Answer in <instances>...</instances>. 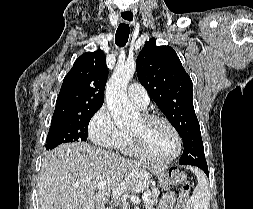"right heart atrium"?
Here are the masks:
<instances>
[{
  "instance_id": "obj_1",
  "label": "right heart atrium",
  "mask_w": 253,
  "mask_h": 209,
  "mask_svg": "<svg viewBox=\"0 0 253 209\" xmlns=\"http://www.w3.org/2000/svg\"><path fill=\"white\" fill-rule=\"evenodd\" d=\"M88 134L95 145L104 148H121L127 140V133L117 127L104 106L91 118Z\"/></svg>"
}]
</instances>
